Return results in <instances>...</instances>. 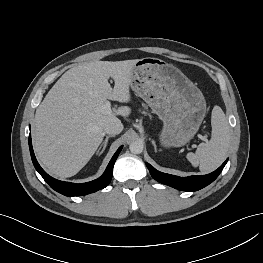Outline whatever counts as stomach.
I'll return each instance as SVG.
<instances>
[{"label":"stomach","instance_id":"stomach-1","mask_svg":"<svg viewBox=\"0 0 263 263\" xmlns=\"http://www.w3.org/2000/svg\"><path fill=\"white\" fill-rule=\"evenodd\" d=\"M131 88L162 120L161 143L181 147L198 131L206 113L202 92L172 64L159 58L137 59Z\"/></svg>","mask_w":263,"mask_h":263}]
</instances>
